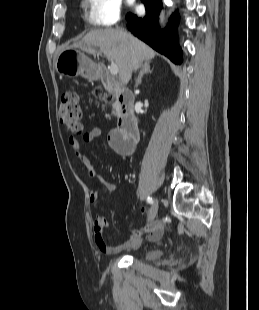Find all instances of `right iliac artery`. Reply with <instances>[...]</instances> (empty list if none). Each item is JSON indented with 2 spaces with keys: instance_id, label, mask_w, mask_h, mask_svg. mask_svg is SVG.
<instances>
[{
  "instance_id": "82829eb1",
  "label": "right iliac artery",
  "mask_w": 259,
  "mask_h": 310,
  "mask_svg": "<svg viewBox=\"0 0 259 310\" xmlns=\"http://www.w3.org/2000/svg\"><path fill=\"white\" fill-rule=\"evenodd\" d=\"M147 202L150 203V204H152V203H153L152 198H151V197H148V198H147Z\"/></svg>"
}]
</instances>
